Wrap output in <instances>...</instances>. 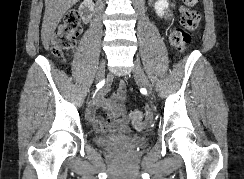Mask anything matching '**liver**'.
<instances>
[{"label": "liver", "mask_w": 244, "mask_h": 179, "mask_svg": "<svg viewBox=\"0 0 244 179\" xmlns=\"http://www.w3.org/2000/svg\"><path fill=\"white\" fill-rule=\"evenodd\" d=\"M78 0H45V14L43 18L41 40L45 50H49L51 36H53L61 18Z\"/></svg>", "instance_id": "liver-1"}]
</instances>
